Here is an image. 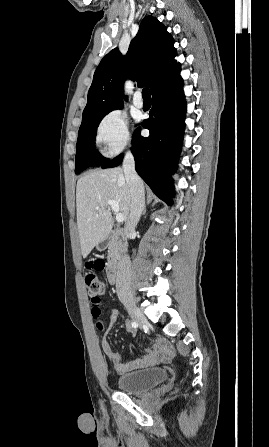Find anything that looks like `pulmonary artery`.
Returning a JSON list of instances; mask_svg holds the SVG:
<instances>
[{
	"label": "pulmonary artery",
	"mask_w": 269,
	"mask_h": 447,
	"mask_svg": "<svg viewBox=\"0 0 269 447\" xmlns=\"http://www.w3.org/2000/svg\"><path fill=\"white\" fill-rule=\"evenodd\" d=\"M133 102L137 108H142L144 101H143L141 94H139V93L135 94Z\"/></svg>",
	"instance_id": "pulmonary-artery-1"
}]
</instances>
